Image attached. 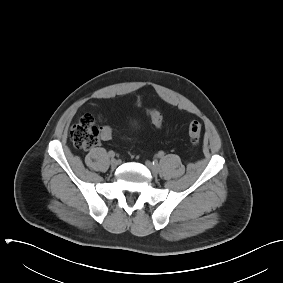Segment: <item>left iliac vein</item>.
Segmentation results:
<instances>
[{"instance_id": "obj_1", "label": "left iliac vein", "mask_w": 283, "mask_h": 283, "mask_svg": "<svg viewBox=\"0 0 283 283\" xmlns=\"http://www.w3.org/2000/svg\"><path fill=\"white\" fill-rule=\"evenodd\" d=\"M146 166L152 172L153 175H157L159 173V166L158 164H154L150 161H146Z\"/></svg>"}]
</instances>
